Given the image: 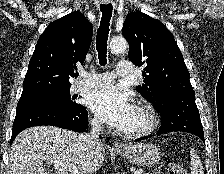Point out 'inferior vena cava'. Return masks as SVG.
I'll return each mask as SVG.
<instances>
[{"label": "inferior vena cava", "instance_id": "602c4592", "mask_svg": "<svg viewBox=\"0 0 224 174\" xmlns=\"http://www.w3.org/2000/svg\"><path fill=\"white\" fill-rule=\"evenodd\" d=\"M91 132L89 134H82L81 139L84 141L88 150H95L96 148H100V140L98 139V135L102 131V122L98 119H93L90 122Z\"/></svg>", "mask_w": 224, "mask_h": 174}]
</instances>
